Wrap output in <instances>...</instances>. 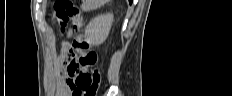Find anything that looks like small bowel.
<instances>
[{
	"label": "small bowel",
	"mask_w": 232,
	"mask_h": 96,
	"mask_svg": "<svg viewBox=\"0 0 232 96\" xmlns=\"http://www.w3.org/2000/svg\"><path fill=\"white\" fill-rule=\"evenodd\" d=\"M69 64L68 58V46L63 45L62 53L59 57L58 66L60 69H64L65 73H61L58 76L56 85V95L57 96H74V80L75 76L67 72V66Z\"/></svg>",
	"instance_id": "1"
}]
</instances>
